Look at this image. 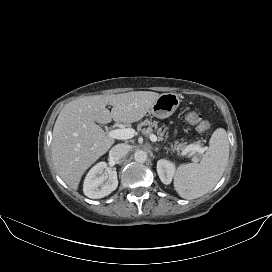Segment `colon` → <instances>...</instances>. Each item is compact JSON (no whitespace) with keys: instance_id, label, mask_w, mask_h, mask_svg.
Wrapping results in <instances>:
<instances>
[{"instance_id":"5ec220e1","label":"colon","mask_w":272,"mask_h":272,"mask_svg":"<svg viewBox=\"0 0 272 272\" xmlns=\"http://www.w3.org/2000/svg\"><path fill=\"white\" fill-rule=\"evenodd\" d=\"M187 121L191 124L197 125V130L201 133H205L209 130L210 125L203 115L198 112H190L187 115Z\"/></svg>"}]
</instances>
